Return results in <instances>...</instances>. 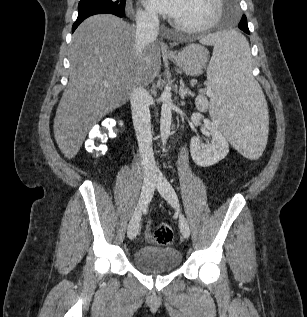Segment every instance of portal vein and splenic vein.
Returning <instances> with one entry per match:
<instances>
[{
    "label": "portal vein and splenic vein",
    "instance_id": "obj_1",
    "mask_svg": "<svg viewBox=\"0 0 307 317\" xmlns=\"http://www.w3.org/2000/svg\"><path fill=\"white\" fill-rule=\"evenodd\" d=\"M104 86H105V87H108V84H104ZM206 93H207V95H208L209 97H213V92H212L210 89H208V90L206 91Z\"/></svg>",
    "mask_w": 307,
    "mask_h": 317
}]
</instances>
